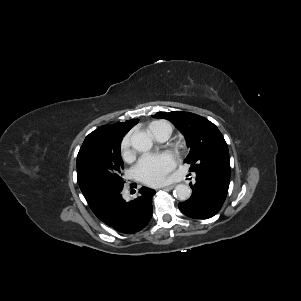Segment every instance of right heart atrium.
Segmentation results:
<instances>
[{
    "label": "right heart atrium",
    "mask_w": 301,
    "mask_h": 301,
    "mask_svg": "<svg viewBox=\"0 0 301 301\" xmlns=\"http://www.w3.org/2000/svg\"><path fill=\"white\" fill-rule=\"evenodd\" d=\"M121 156L125 161H131L134 157V153L131 148V134H126L120 143Z\"/></svg>",
    "instance_id": "d8ad5b80"
}]
</instances>
